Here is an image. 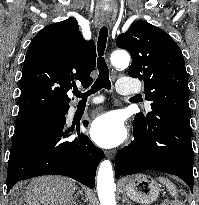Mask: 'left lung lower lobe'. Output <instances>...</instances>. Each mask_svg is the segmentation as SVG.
I'll use <instances>...</instances> for the list:
<instances>
[{
	"instance_id": "0a47b994",
	"label": "left lung lower lobe",
	"mask_w": 199,
	"mask_h": 205,
	"mask_svg": "<svg viewBox=\"0 0 199 205\" xmlns=\"http://www.w3.org/2000/svg\"><path fill=\"white\" fill-rule=\"evenodd\" d=\"M146 125L133 122L134 140L115 158V177L157 170L182 178L193 191L190 117L163 110Z\"/></svg>"
}]
</instances>
